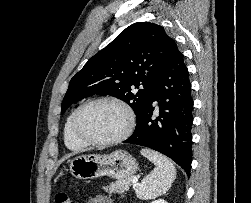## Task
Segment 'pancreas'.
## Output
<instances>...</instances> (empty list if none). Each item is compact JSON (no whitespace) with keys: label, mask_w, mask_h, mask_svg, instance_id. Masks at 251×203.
<instances>
[{"label":"pancreas","mask_w":251,"mask_h":203,"mask_svg":"<svg viewBox=\"0 0 251 203\" xmlns=\"http://www.w3.org/2000/svg\"><path fill=\"white\" fill-rule=\"evenodd\" d=\"M133 178H125V179H119L114 183H111L107 187H103L104 190H106L109 194L111 193H118L122 194L125 191L129 190L130 186L133 184Z\"/></svg>","instance_id":"1"}]
</instances>
